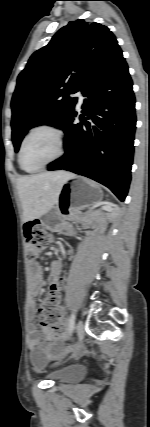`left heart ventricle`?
Here are the masks:
<instances>
[{"mask_svg":"<svg viewBox=\"0 0 150 427\" xmlns=\"http://www.w3.org/2000/svg\"><path fill=\"white\" fill-rule=\"evenodd\" d=\"M58 151L56 137L46 131L34 134L26 143L22 161L28 170H33L53 158Z\"/></svg>","mask_w":150,"mask_h":427,"instance_id":"obj_1","label":"left heart ventricle"}]
</instances>
